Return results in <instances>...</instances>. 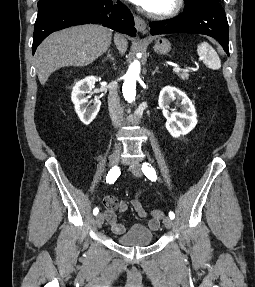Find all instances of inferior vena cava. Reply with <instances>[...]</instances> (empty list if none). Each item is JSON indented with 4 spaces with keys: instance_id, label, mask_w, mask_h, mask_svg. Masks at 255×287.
<instances>
[{
    "instance_id": "602c4592",
    "label": "inferior vena cava",
    "mask_w": 255,
    "mask_h": 287,
    "mask_svg": "<svg viewBox=\"0 0 255 287\" xmlns=\"http://www.w3.org/2000/svg\"><path fill=\"white\" fill-rule=\"evenodd\" d=\"M108 108L109 116L114 126L119 128L123 122V110L120 106L116 82H111V84H109Z\"/></svg>"
}]
</instances>
